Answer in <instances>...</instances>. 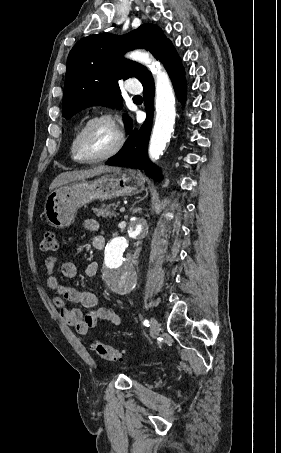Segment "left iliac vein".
<instances>
[{
	"label": "left iliac vein",
	"instance_id": "1",
	"mask_svg": "<svg viewBox=\"0 0 281 453\" xmlns=\"http://www.w3.org/2000/svg\"><path fill=\"white\" fill-rule=\"evenodd\" d=\"M149 326H150V336L151 337H156L157 334H158V331H159V327H158V323L156 321V318L155 317H152L151 318V321L149 323Z\"/></svg>",
	"mask_w": 281,
	"mask_h": 453
}]
</instances>
